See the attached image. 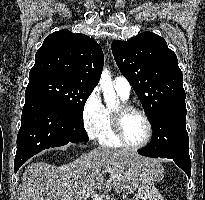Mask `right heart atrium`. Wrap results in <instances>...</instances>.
Listing matches in <instances>:
<instances>
[{
  "mask_svg": "<svg viewBox=\"0 0 205 200\" xmlns=\"http://www.w3.org/2000/svg\"><path fill=\"white\" fill-rule=\"evenodd\" d=\"M106 109L102 103L100 92L94 89L83 103L82 123L87 136L98 139L105 125Z\"/></svg>",
  "mask_w": 205,
  "mask_h": 200,
  "instance_id": "right-heart-atrium-1",
  "label": "right heart atrium"
}]
</instances>
